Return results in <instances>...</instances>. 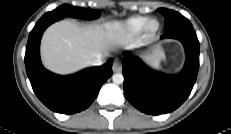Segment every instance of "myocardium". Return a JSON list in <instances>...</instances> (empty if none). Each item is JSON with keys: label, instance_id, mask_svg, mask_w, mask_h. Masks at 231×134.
I'll list each match as a JSON object with an SVG mask.
<instances>
[{"label": "myocardium", "instance_id": "myocardium-1", "mask_svg": "<svg viewBox=\"0 0 231 134\" xmlns=\"http://www.w3.org/2000/svg\"><path fill=\"white\" fill-rule=\"evenodd\" d=\"M160 28H161L160 22L156 18H151L145 23L141 31L142 36L144 38H153L159 33Z\"/></svg>", "mask_w": 231, "mask_h": 134}]
</instances>
